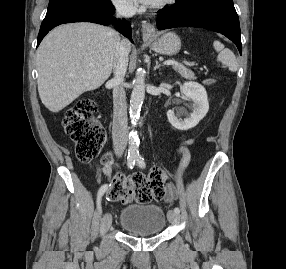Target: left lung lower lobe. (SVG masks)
<instances>
[{
  "mask_svg": "<svg viewBox=\"0 0 286 269\" xmlns=\"http://www.w3.org/2000/svg\"><path fill=\"white\" fill-rule=\"evenodd\" d=\"M158 13L159 30L199 27L216 31L233 41L242 53L239 18L232 0H194L187 5L175 3Z\"/></svg>",
  "mask_w": 286,
  "mask_h": 269,
  "instance_id": "left-lung-lower-lobe-1",
  "label": "left lung lower lobe"
}]
</instances>
